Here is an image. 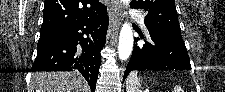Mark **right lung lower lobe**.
Listing matches in <instances>:
<instances>
[{
	"instance_id": "right-lung-lower-lobe-1",
	"label": "right lung lower lobe",
	"mask_w": 225,
	"mask_h": 92,
	"mask_svg": "<svg viewBox=\"0 0 225 92\" xmlns=\"http://www.w3.org/2000/svg\"><path fill=\"white\" fill-rule=\"evenodd\" d=\"M109 18L107 8L91 19L63 30L61 35L39 39L31 71H79L95 92Z\"/></svg>"
}]
</instances>
